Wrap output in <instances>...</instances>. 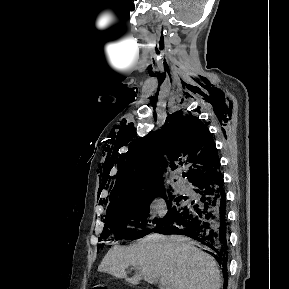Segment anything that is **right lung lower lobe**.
Wrapping results in <instances>:
<instances>
[{
    "instance_id": "right-lung-lower-lobe-1",
    "label": "right lung lower lobe",
    "mask_w": 289,
    "mask_h": 289,
    "mask_svg": "<svg viewBox=\"0 0 289 289\" xmlns=\"http://www.w3.org/2000/svg\"><path fill=\"white\" fill-rule=\"evenodd\" d=\"M193 186L199 194L198 199L185 203L178 212L157 224L151 232L187 235L209 248L222 267L227 285L229 223L222 174L218 170L203 176Z\"/></svg>"
}]
</instances>
